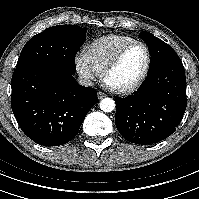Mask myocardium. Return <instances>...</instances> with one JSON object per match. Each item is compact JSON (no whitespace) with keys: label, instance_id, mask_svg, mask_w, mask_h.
I'll return each instance as SVG.
<instances>
[{"label":"myocardium","instance_id":"obj_1","mask_svg":"<svg viewBox=\"0 0 199 199\" xmlns=\"http://www.w3.org/2000/svg\"><path fill=\"white\" fill-rule=\"evenodd\" d=\"M135 45H141L146 51L147 62H146L145 68H144L142 74L139 76V78L132 84L124 86V87L109 86L116 93L126 94V93H131V92L137 90L144 83V81L146 80V78L148 77V74L150 72L151 65H152V53H151L149 46L142 41H133V42L125 45L124 47H122L117 52V54L113 57V59L105 66V68L103 69V72H102L103 80L104 81L106 80V76L120 64V62L122 61V59H123L124 55L127 53V51Z\"/></svg>","mask_w":199,"mask_h":199}]
</instances>
